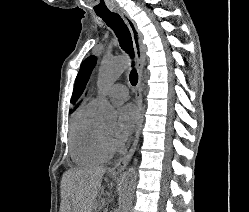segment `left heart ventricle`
<instances>
[{"instance_id": "left-heart-ventricle-1", "label": "left heart ventricle", "mask_w": 249, "mask_h": 212, "mask_svg": "<svg viewBox=\"0 0 249 212\" xmlns=\"http://www.w3.org/2000/svg\"><path fill=\"white\" fill-rule=\"evenodd\" d=\"M101 130H102L103 135L108 139L111 135L112 127H105V128H102Z\"/></svg>"}]
</instances>
